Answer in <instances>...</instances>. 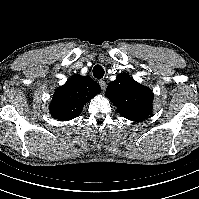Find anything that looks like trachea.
<instances>
[{"mask_svg": "<svg viewBox=\"0 0 199 199\" xmlns=\"http://www.w3.org/2000/svg\"><path fill=\"white\" fill-rule=\"evenodd\" d=\"M104 69L101 65H95L93 68V75L97 79H101L104 76Z\"/></svg>", "mask_w": 199, "mask_h": 199, "instance_id": "3493384b", "label": "trachea"}]
</instances>
